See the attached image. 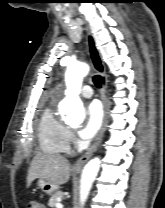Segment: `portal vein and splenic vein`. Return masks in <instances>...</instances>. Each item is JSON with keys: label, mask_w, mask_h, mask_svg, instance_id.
I'll use <instances>...</instances> for the list:
<instances>
[{"label": "portal vein and splenic vein", "mask_w": 165, "mask_h": 208, "mask_svg": "<svg viewBox=\"0 0 165 208\" xmlns=\"http://www.w3.org/2000/svg\"><path fill=\"white\" fill-rule=\"evenodd\" d=\"M56 208H63V205L61 203H57Z\"/></svg>", "instance_id": "18ae733b"}]
</instances>
